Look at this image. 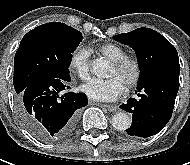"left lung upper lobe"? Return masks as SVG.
<instances>
[{"label": "left lung upper lobe", "mask_w": 190, "mask_h": 165, "mask_svg": "<svg viewBox=\"0 0 190 165\" xmlns=\"http://www.w3.org/2000/svg\"><path fill=\"white\" fill-rule=\"evenodd\" d=\"M114 38L134 49L141 69L139 81L159 69L180 67L174 46L150 28H138Z\"/></svg>", "instance_id": "obj_1"}]
</instances>
